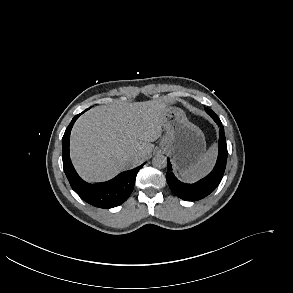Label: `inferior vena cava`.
Returning a JSON list of instances; mask_svg holds the SVG:
<instances>
[{
	"mask_svg": "<svg viewBox=\"0 0 293 293\" xmlns=\"http://www.w3.org/2000/svg\"><path fill=\"white\" fill-rule=\"evenodd\" d=\"M134 159H135V160H138V155H135V156H134Z\"/></svg>",
	"mask_w": 293,
	"mask_h": 293,
	"instance_id": "obj_1",
	"label": "inferior vena cava"
}]
</instances>
